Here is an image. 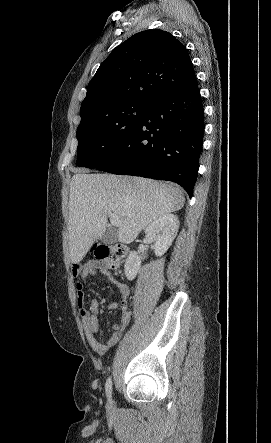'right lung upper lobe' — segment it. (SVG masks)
I'll return each instance as SVG.
<instances>
[{
  "mask_svg": "<svg viewBox=\"0 0 271 443\" xmlns=\"http://www.w3.org/2000/svg\"><path fill=\"white\" fill-rule=\"evenodd\" d=\"M196 81L185 46L159 29L137 33L117 46L87 87L81 121L127 101L150 103Z\"/></svg>",
  "mask_w": 271,
  "mask_h": 443,
  "instance_id": "1",
  "label": "right lung upper lobe"
}]
</instances>
